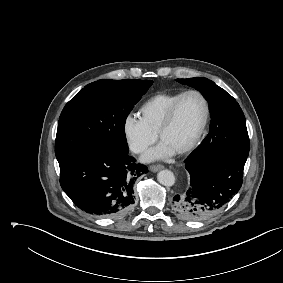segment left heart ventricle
<instances>
[{
    "mask_svg": "<svg viewBox=\"0 0 283 283\" xmlns=\"http://www.w3.org/2000/svg\"><path fill=\"white\" fill-rule=\"evenodd\" d=\"M204 116V104L197 95H189L181 102L172 126L163 134L162 141L179 152L196 136Z\"/></svg>",
    "mask_w": 283,
    "mask_h": 283,
    "instance_id": "obj_1",
    "label": "left heart ventricle"
}]
</instances>
